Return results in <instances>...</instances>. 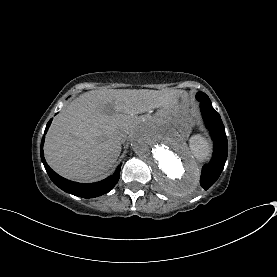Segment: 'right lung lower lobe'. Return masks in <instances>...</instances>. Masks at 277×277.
Listing matches in <instances>:
<instances>
[{"label":"right lung lower lobe","instance_id":"obj_1","mask_svg":"<svg viewBox=\"0 0 277 277\" xmlns=\"http://www.w3.org/2000/svg\"><path fill=\"white\" fill-rule=\"evenodd\" d=\"M52 119L47 123L46 129L44 134H46L50 124H51ZM45 136L42 138L41 142V159L44 164V167L50 177V179L53 181L55 185H57L60 189L63 191L73 194L78 197H83V198H94L101 196L107 192H109L113 187L116 185V183L119 180V173H120V166L117 167L115 172L113 173L112 176L96 183H90V184H82V183H77L73 181H69L58 174H56L46 163L44 159V153H43V143H44Z\"/></svg>","mask_w":277,"mask_h":277}]
</instances>
